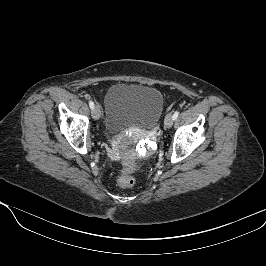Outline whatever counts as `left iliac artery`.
Wrapping results in <instances>:
<instances>
[{"instance_id": "44dca946", "label": "left iliac artery", "mask_w": 266, "mask_h": 266, "mask_svg": "<svg viewBox=\"0 0 266 266\" xmlns=\"http://www.w3.org/2000/svg\"><path fill=\"white\" fill-rule=\"evenodd\" d=\"M179 115V111H175L173 114V120H176Z\"/></svg>"}]
</instances>
